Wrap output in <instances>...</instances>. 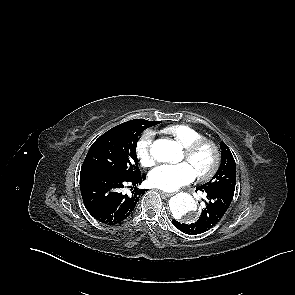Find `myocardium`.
Masks as SVG:
<instances>
[{
    "label": "myocardium",
    "mask_w": 295,
    "mask_h": 295,
    "mask_svg": "<svg viewBox=\"0 0 295 295\" xmlns=\"http://www.w3.org/2000/svg\"><path fill=\"white\" fill-rule=\"evenodd\" d=\"M209 147L213 152V162L211 166L203 172L197 173V177L200 180H207L210 179L218 170L221 162V152L218 145L210 139H200L198 141L193 142L192 144L184 147L185 155L190 158L193 157L200 149L203 147Z\"/></svg>",
    "instance_id": "myocardium-1"
}]
</instances>
